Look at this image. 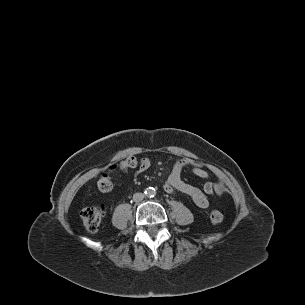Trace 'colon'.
<instances>
[{
	"instance_id": "obj_1",
	"label": "colon",
	"mask_w": 305,
	"mask_h": 305,
	"mask_svg": "<svg viewBox=\"0 0 305 305\" xmlns=\"http://www.w3.org/2000/svg\"><path fill=\"white\" fill-rule=\"evenodd\" d=\"M140 163L138 156L128 153L119 162L110 166L109 171L104 173L98 180V188L102 192H109L113 188L112 175L116 172H128L137 167ZM83 224L89 232H97L103 223L105 216L104 206L85 207L80 212ZM210 220L213 224H218L223 220V215L218 210L210 213Z\"/></svg>"
}]
</instances>
